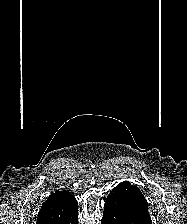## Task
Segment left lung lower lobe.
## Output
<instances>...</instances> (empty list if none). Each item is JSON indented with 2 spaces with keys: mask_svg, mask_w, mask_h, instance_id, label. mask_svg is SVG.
Instances as JSON below:
<instances>
[{
  "mask_svg": "<svg viewBox=\"0 0 187 224\" xmlns=\"http://www.w3.org/2000/svg\"><path fill=\"white\" fill-rule=\"evenodd\" d=\"M101 224H152L151 219L134 212L116 190L108 195Z\"/></svg>",
  "mask_w": 187,
  "mask_h": 224,
  "instance_id": "0a47b994",
  "label": "left lung lower lobe"
}]
</instances>
